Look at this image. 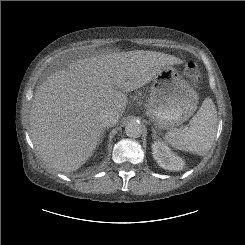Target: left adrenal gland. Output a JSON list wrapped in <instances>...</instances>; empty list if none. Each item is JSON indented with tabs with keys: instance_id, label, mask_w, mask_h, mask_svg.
I'll return each mask as SVG.
<instances>
[{
	"instance_id": "1",
	"label": "left adrenal gland",
	"mask_w": 245,
	"mask_h": 245,
	"mask_svg": "<svg viewBox=\"0 0 245 245\" xmlns=\"http://www.w3.org/2000/svg\"><path fill=\"white\" fill-rule=\"evenodd\" d=\"M152 133H153V138L157 139L158 138L157 132H156V130L154 128H152Z\"/></svg>"
}]
</instances>
